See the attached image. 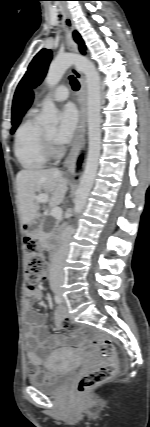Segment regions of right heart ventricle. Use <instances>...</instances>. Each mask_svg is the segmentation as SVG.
Instances as JSON below:
<instances>
[{"label": "right heart ventricle", "instance_id": "obj_1", "mask_svg": "<svg viewBox=\"0 0 150 427\" xmlns=\"http://www.w3.org/2000/svg\"><path fill=\"white\" fill-rule=\"evenodd\" d=\"M37 110L32 109L15 133L14 154L25 170H39L46 166L48 159L42 149V129L35 123Z\"/></svg>", "mask_w": 150, "mask_h": 427}]
</instances>
